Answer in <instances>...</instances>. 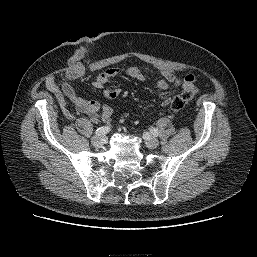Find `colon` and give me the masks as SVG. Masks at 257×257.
I'll return each instance as SVG.
<instances>
[{
	"label": "colon",
	"mask_w": 257,
	"mask_h": 257,
	"mask_svg": "<svg viewBox=\"0 0 257 257\" xmlns=\"http://www.w3.org/2000/svg\"><path fill=\"white\" fill-rule=\"evenodd\" d=\"M198 93V88L193 84L186 87L182 92L173 96L170 101V107L174 111L182 109L188 104Z\"/></svg>",
	"instance_id": "colon-1"
}]
</instances>
